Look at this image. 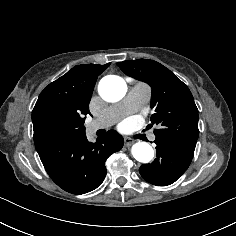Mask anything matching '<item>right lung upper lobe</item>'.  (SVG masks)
<instances>
[{
	"label": "right lung upper lobe",
	"mask_w": 236,
	"mask_h": 236,
	"mask_svg": "<svg viewBox=\"0 0 236 236\" xmlns=\"http://www.w3.org/2000/svg\"><path fill=\"white\" fill-rule=\"evenodd\" d=\"M109 65H77L49 84L39 95L32 111L34 134L47 117L88 114L97 76Z\"/></svg>",
	"instance_id": "right-lung-upper-lobe-1"
}]
</instances>
